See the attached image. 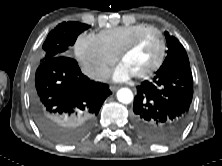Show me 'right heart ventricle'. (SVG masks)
Wrapping results in <instances>:
<instances>
[{
	"instance_id": "obj_1",
	"label": "right heart ventricle",
	"mask_w": 222,
	"mask_h": 166,
	"mask_svg": "<svg viewBox=\"0 0 222 166\" xmlns=\"http://www.w3.org/2000/svg\"><path fill=\"white\" fill-rule=\"evenodd\" d=\"M148 28L145 24H135L102 30L97 39L113 56H117L138 33Z\"/></svg>"
}]
</instances>
